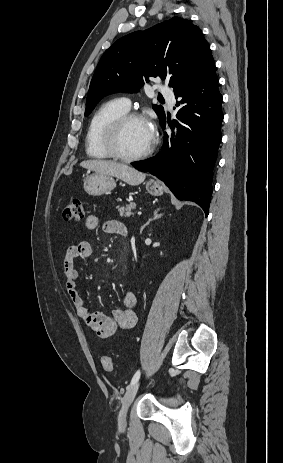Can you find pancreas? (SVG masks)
I'll return each mask as SVG.
<instances>
[{
    "mask_svg": "<svg viewBox=\"0 0 283 463\" xmlns=\"http://www.w3.org/2000/svg\"><path fill=\"white\" fill-rule=\"evenodd\" d=\"M117 209L121 216H124V217L134 216L133 210L136 209V204L130 203L126 206L117 207Z\"/></svg>",
    "mask_w": 283,
    "mask_h": 463,
    "instance_id": "obj_1",
    "label": "pancreas"
}]
</instances>
